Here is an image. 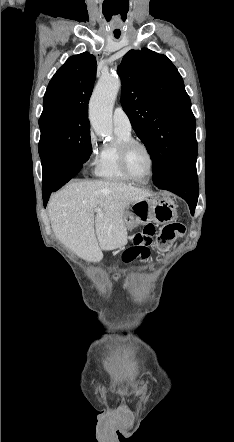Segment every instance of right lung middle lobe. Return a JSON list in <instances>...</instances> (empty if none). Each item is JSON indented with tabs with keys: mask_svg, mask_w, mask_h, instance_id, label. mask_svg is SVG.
<instances>
[{
	"mask_svg": "<svg viewBox=\"0 0 234 442\" xmlns=\"http://www.w3.org/2000/svg\"><path fill=\"white\" fill-rule=\"evenodd\" d=\"M41 137L39 155L47 156L69 153L85 163L91 153L90 124L87 118L55 115L39 119Z\"/></svg>",
	"mask_w": 234,
	"mask_h": 442,
	"instance_id": "1",
	"label": "right lung middle lobe"
}]
</instances>
